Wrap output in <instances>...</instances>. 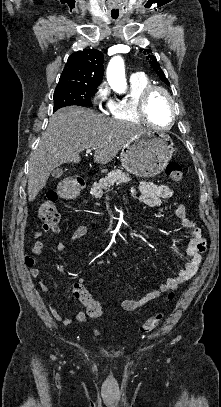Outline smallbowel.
Masks as SVG:
<instances>
[{
	"mask_svg": "<svg viewBox=\"0 0 221 407\" xmlns=\"http://www.w3.org/2000/svg\"><path fill=\"white\" fill-rule=\"evenodd\" d=\"M131 193L136 195L139 202L151 207H160L163 202L172 197V189L166 185L155 184L153 182H142L131 188ZM174 210L177 218L180 220L181 225L187 230L190 237L187 247L188 259L184 263L183 267L177 275L167 279L166 282L154 288L142 298L138 300L125 299L120 301V309L124 312L134 311L140 306L145 305L149 301L160 297L162 294L170 292L178 288L181 284L190 280L196 273L202 254L206 250V240L202 235L201 229L195 224L194 221L188 218L187 210L181 203L174 204ZM90 230L89 226L81 225L77 227L71 234V241H77L88 234ZM35 243L32 247L31 254H24L23 261L28 268V272L32 277H39L40 270L35 266L36 256L40 255L44 247V239L40 232L34 234ZM65 243L62 241L57 242L56 249L63 251L65 249ZM56 269L61 274L67 273V268L63 264H57ZM76 281L84 285L85 278L80 276ZM74 283L71 284L70 294L77 300L79 298L74 293ZM39 286L46 294H51L52 289L46 283L43 278L39 279ZM80 301V300H79ZM50 311L54 318L63 322L65 325H70L73 321L82 322L86 319V313L77 312L73 317H63L54 307H50ZM88 314V313H87ZM89 315V314H88Z\"/></svg>",
	"mask_w": 221,
	"mask_h": 407,
	"instance_id": "1",
	"label": "small bowel"
}]
</instances>
